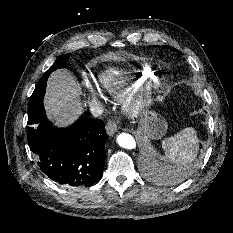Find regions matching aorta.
<instances>
[{
  "mask_svg": "<svg viewBox=\"0 0 233 233\" xmlns=\"http://www.w3.org/2000/svg\"><path fill=\"white\" fill-rule=\"evenodd\" d=\"M118 144L125 149H134L136 147L135 139L128 133H121L117 136Z\"/></svg>",
  "mask_w": 233,
  "mask_h": 233,
  "instance_id": "762f6f07",
  "label": "aorta"
}]
</instances>
